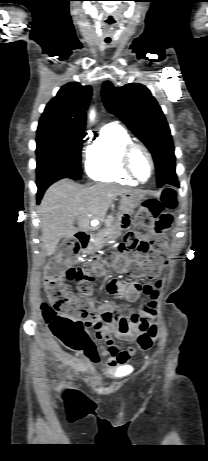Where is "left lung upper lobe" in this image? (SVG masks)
<instances>
[{"label": "left lung upper lobe", "mask_w": 208, "mask_h": 461, "mask_svg": "<svg viewBox=\"0 0 208 461\" xmlns=\"http://www.w3.org/2000/svg\"><path fill=\"white\" fill-rule=\"evenodd\" d=\"M102 98L107 110L120 118L151 151L156 165L157 185L160 187L176 177L170 129L150 90L139 83L114 87L105 81Z\"/></svg>", "instance_id": "obj_1"}]
</instances>
